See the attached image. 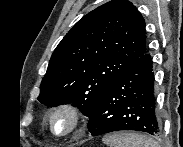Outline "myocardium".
Returning a JSON list of instances; mask_svg holds the SVG:
<instances>
[{"label": "myocardium", "instance_id": "myocardium-1", "mask_svg": "<svg viewBox=\"0 0 183 147\" xmlns=\"http://www.w3.org/2000/svg\"><path fill=\"white\" fill-rule=\"evenodd\" d=\"M59 113H66L68 114L72 120H73V125L71 129L65 133H57L53 127V119L54 117L59 114ZM47 122L49 126V130L51 133L56 136V137H69L75 134L83 125V113L81 109L70 102H63L60 103L56 106H54L48 113L47 116Z\"/></svg>", "mask_w": 183, "mask_h": 147}]
</instances>
